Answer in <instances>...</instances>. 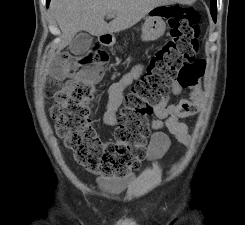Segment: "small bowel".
Segmentation results:
<instances>
[{
  "instance_id": "1",
  "label": "small bowel",
  "mask_w": 245,
  "mask_h": 225,
  "mask_svg": "<svg viewBox=\"0 0 245 225\" xmlns=\"http://www.w3.org/2000/svg\"><path fill=\"white\" fill-rule=\"evenodd\" d=\"M98 68H90L86 73H95ZM143 71V65L135 66L130 72L124 74L118 81L113 82L108 90V100L105 106V111L102 116L103 123L109 127H115L118 124V109L123 100L124 90L136 81ZM183 87L178 81L173 82L171 86L172 96H178L182 92ZM170 96L163 98L157 105L154 106L151 127L154 134L150 138L149 146L143 158L146 161H154L161 158L169 145V138L164 133L167 129L175 136L178 142L186 145L189 142V135L186 129L179 122V116L176 113L177 106L169 104ZM138 165L134 166L137 167Z\"/></svg>"
}]
</instances>
